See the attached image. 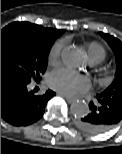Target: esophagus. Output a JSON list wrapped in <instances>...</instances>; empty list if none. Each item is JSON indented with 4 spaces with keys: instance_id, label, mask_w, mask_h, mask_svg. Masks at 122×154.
I'll return each instance as SVG.
<instances>
[{
    "instance_id": "34e87169",
    "label": "esophagus",
    "mask_w": 122,
    "mask_h": 154,
    "mask_svg": "<svg viewBox=\"0 0 122 154\" xmlns=\"http://www.w3.org/2000/svg\"><path fill=\"white\" fill-rule=\"evenodd\" d=\"M58 94L65 97V99L67 100L68 103H73L75 101V98H73V97H69V96H66V95L61 94V93H58Z\"/></svg>"
}]
</instances>
